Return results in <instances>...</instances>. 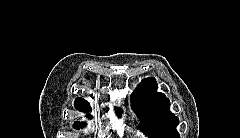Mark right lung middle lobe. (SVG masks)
<instances>
[{
  "label": "right lung middle lobe",
  "instance_id": "obj_1",
  "mask_svg": "<svg viewBox=\"0 0 240 138\" xmlns=\"http://www.w3.org/2000/svg\"><path fill=\"white\" fill-rule=\"evenodd\" d=\"M86 124H81V123H75L74 127L76 129L83 128Z\"/></svg>",
  "mask_w": 240,
  "mask_h": 138
}]
</instances>
